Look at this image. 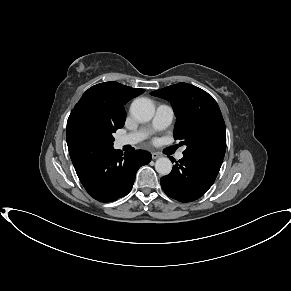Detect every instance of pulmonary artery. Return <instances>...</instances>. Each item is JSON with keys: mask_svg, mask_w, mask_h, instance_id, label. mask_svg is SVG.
<instances>
[{"mask_svg": "<svg viewBox=\"0 0 291 291\" xmlns=\"http://www.w3.org/2000/svg\"><path fill=\"white\" fill-rule=\"evenodd\" d=\"M174 118V111L170 105L160 104L157 106L155 116L150 128H141L117 139L118 146L133 145L145 139L152 131L162 130L168 127ZM178 159L183 158V153L177 154Z\"/></svg>", "mask_w": 291, "mask_h": 291, "instance_id": "obj_1", "label": "pulmonary artery"}]
</instances>
